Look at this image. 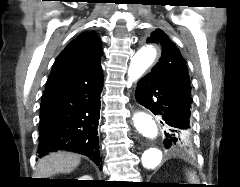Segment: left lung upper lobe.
Wrapping results in <instances>:
<instances>
[{"label": "left lung upper lobe", "instance_id": "obj_1", "mask_svg": "<svg viewBox=\"0 0 240 187\" xmlns=\"http://www.w3.org/2000/svg\"><path fill=\"white\" fill-rule=\"evenodd\" d=\"M146 42L160 44L162 48L159 62L150 74L174 90L191 95L187 66L176 45L161 29L153 31ZM181 134L185 139H192L191 130L182 131Z\"/></svg>", "mask_w": 240, "mask_h": 187}]
</instances>
